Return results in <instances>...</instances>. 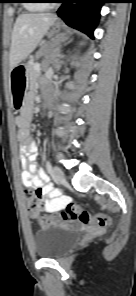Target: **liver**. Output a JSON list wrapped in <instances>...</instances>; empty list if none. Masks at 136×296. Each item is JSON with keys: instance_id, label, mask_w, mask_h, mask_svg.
<instances>
[{"instance_id": "obj_1", "label": "liver", "mask_w": 136, "mask_h": 296, "mask_svg": "<svg viewBox=\"0 0 136 296\" xmlns=\"http://www.w3.org/2000/svg\"><path fill=\"white\" fill-rule=\"evenodd\" d=\"M57 20L50 13H23L15 21L9 55L10 70L25 60Z\"/></svg>"}]
</instances>
